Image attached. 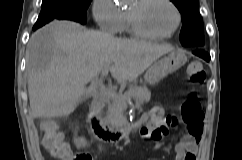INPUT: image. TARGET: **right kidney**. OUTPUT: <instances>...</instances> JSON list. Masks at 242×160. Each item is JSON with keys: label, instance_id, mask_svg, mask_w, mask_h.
Segmentation results:
<instances>
[{"label": "right kidney", "instance_id": "right-kidney-1", "mask_svg": "<svg viewBox=\"0 0 242 160\" xmlns=\"http://www.w3.org/2000/svg\"><path fill=\"white\" fill-rule=\"evenodd\" d=\"M74 143L78 149L88 146V143L84 137L74 138Z\"/></svg>", "mask_w": 242, "mask_h": 160}]
</instances>
